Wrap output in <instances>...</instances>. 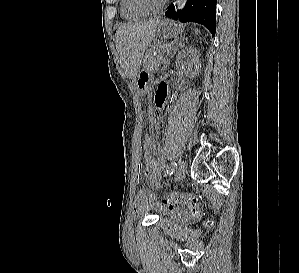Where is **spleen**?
<instances>
[{
    "mask_svg": "<svg viewBox=\"0 0 299 273\" xmlns=\"http://www.w3.org/2000/svg\"><path fill=\"white\" fill-rule=\"evenodd\" d=\"M195 33H196V34L200 33V30L195 29Z\"/></svg>",
    "mask_w": 299,
    "mask_h": 273,
    "instance_id": "3e777b00",
    "label": "spleen"
}]
</instances>
